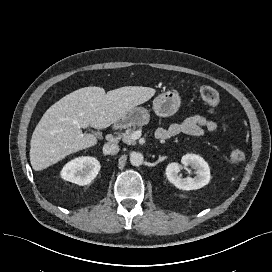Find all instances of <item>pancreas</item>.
Here are the masks:
<instances>
[{
    "label": "pancreas",
    "mask_w": 272,
    "mask_h": 272,
    "mask_svg": "<svg viewBox=\"0 0 272 272\" xmlns=\"http://www.w3.org/2000/svg\"><path fill=\"white\" fill-rule=\"evenodd\" d=\"M136 129V126L127 127V130L121 135L122 140L127 144H135V141L131 138V135L135 132Z\"/></svg>",
    "instance_id": "pancreas-1"
}]
</instances>
